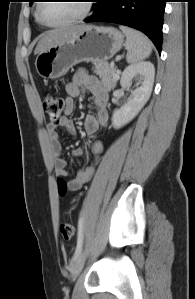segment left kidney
I'll return each mask as SVG.
<instances>
[{
    "label": "left kidney",
    "mask_w": 195,
    "mask_h": 299,
    "mask_svg": "<svg viewBox=\"0 0 195 299\" xmlns=\"http://www.w3.org/2000/svg\"><path fill=\"white\" fill-rule=\"evenodd\" d=\"M154 76L155 68L149 61L130 65L123 71L120 80L123 88H129L134 78L140 81V85L131 92V99L113 112L112 125L115 129L132 121L147 103L152 92Z\"/></svg>",
    "instance_id": "5707ae66"
}]
</instances>
